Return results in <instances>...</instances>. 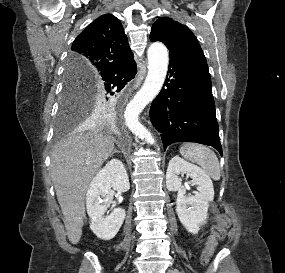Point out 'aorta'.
Listing matches in <instances>:
<instances>
[{"label":"aorta","mask_w":285,"mask_h":273,"mask_svg":"<svg viewBox=\"0 0 285 273\" xmlns=\"http://www.w3.org/2000/svg\"><path fill=\"white\" fill-rule=\"evenodd\" d=\"M148 74L141 89L128 104L125 111L126 124L139 138L149 144H155L151 133L139 122L138 116L145 106L160 92L168 68V51L161 42H154L147 51Z\"/></svg>","instance_id":"aorta-1"}]
</instances>
